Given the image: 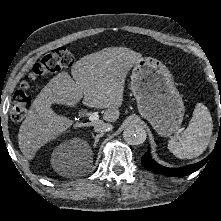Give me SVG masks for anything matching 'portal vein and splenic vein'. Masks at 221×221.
<instances>
[{
    "label": "portal vein and splenic vein",
    "mask_w": 221,
    "mask_h": 221,
    "mask_svg": "<svg viewBox=\"0 0 221 221\" xmlns=\"http://www.w3.org/2000/svg\"><path fill=\"white\" fill-rule=\"evenodd\" d=\"M98 119H99V115H98L97 112L91 113V114L89 115V120H90L91 122H95V121H97Z\"/></svg>",
    "instance_id": "18ae733b"
}]
</instances>
